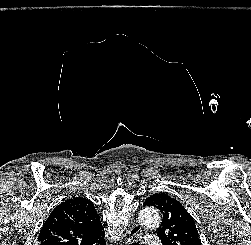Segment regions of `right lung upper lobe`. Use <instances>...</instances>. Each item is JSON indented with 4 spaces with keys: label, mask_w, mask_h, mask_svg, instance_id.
<instances>
[{
    "label": "right lung upper lobe",
    "mask_w": 251,
    "mask_h": 245,
    "mask_svg": "<svg viewBox=\"0 0 251 245\" xmlns=\"http://www.w3.org/2000/svg\"><path fill=\"white\" fill-rule=\"evenodd\" d=\"M103 235L93 203L73 197L59 204L43 224L38 245H92Z\"/></svg>",
    "instance_id": "obj_1"
}]
</instances>
